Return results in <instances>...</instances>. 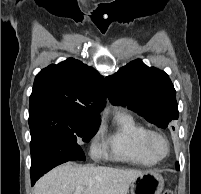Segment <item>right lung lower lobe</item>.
Returning a JSON list of instances; mask_svg holds the SVG:
<instances>
[{"label":"right lung lower lobe","instance_id":"1","mask_svg":"<svg viewBox=\"0 0 201 194\" xmlns=\"http://www.w3.org/2000/svg\"><path fill=\"white\" fill-rule=\"evenodd\" d=\"M31 184L53 167L71 161L83 153L76 141L41 130L31 135Z\"/></svg>","mask_w":201,"mask_h":194}]
</instances>
